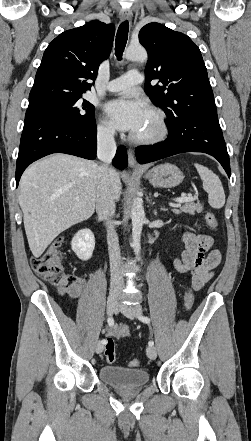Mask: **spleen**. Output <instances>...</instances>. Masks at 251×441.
Returning <instances> with one entry per match:
<instances>
[{
	"label": "spleen",
	"mask_w": 251,
	"mask_h": 441,
	"mask_svg": "<svg viewBox=\"0 0 251 441\" xmlns=\"http://www.w3.org/2000/svg\"><path fill=\"white\" fill-rule=\"evenodd\" d=\"M203 182V189L208 193V203L212 208L220 209L225 204V193L219 177L207 167L194 164Z\"/></svg>",
	"instance_id": "1"
}]
</instances>
